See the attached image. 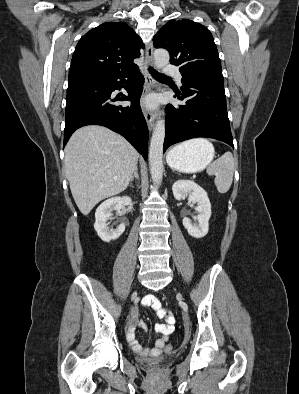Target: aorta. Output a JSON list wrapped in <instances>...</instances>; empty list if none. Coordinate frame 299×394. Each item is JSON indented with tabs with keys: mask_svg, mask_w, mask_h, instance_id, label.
Listing matches in <instances>:
<instances>
[{
	"mask_svg": "<svg viewBox=\"0 0 299 394\" xmlns=\"http://www.w3.org/2000/svg\"><path fill=\"white\" fill-rule=\"evenodd\" d=\"M169 62V53L165 49H156L154 52V64L161 69ZM165 138V122L158 119L153 130L149 147V164L151 177L154 184L159 185L163 177V143Z\"/></svg>",
	"mask_w": 299,
	"mask_h": 394,
	"instance_id": "1",
	"label": "aorta"
}]
</instances>
